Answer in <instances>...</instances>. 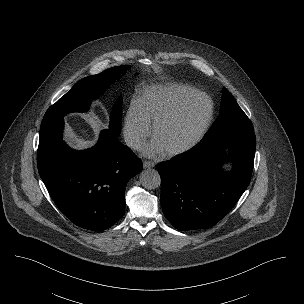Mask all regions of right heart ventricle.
Returning <instances> with one entry per match:
<instances>
[{
  "mask_svg": "<svg viewBox=\"0 0 304 304\" xmlns=\"http://www.w3.org/2000/svg\"><path fill=\"white\" fill-rule=\"evenodd\" d=\"M196 91L195 88L181 83L153 86L142 93L137 103L148 123L153 125L161 115Z\"/></svg>",
  "mask_w": 304,
  "mask_h": 304,
  "instance_id": "1",
  "label": "right heart ventricle"
}]
</instances>
